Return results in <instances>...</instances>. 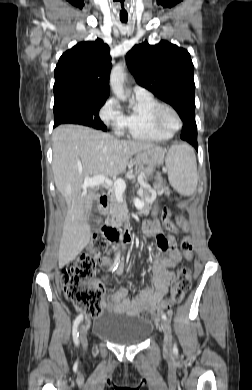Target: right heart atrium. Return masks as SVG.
<instances>
[{"label":"right heart atrium","instance_id":"right-heart-atrium-1","mask_svg":"<svg viewBox=\"0 0 252 390\" xmlns=\"http://www.w3.org/2000/svg\"><path fill=\"white\" fill-rule=\"evenodd\" d=\"M99 116L101 120L117 133L123 130V113L120 110L119 104L115 98H109L101 107Z\"/></svg>","mask_w":252,"mask_h":390}]
</instances>
